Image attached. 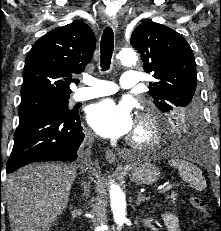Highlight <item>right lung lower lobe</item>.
<instances>
[{
  "mask_svg": "<svg viewBox=\"0 0 221 231\" xmlns=\"http://www.w3.org/2000/svg\"><path fill=\"white\" fill-rule=\"evenodd\" d=\"M7 173L38 161H74L84 139L77 111L43 108L19 116Z\"/></svg>",
  "mask_w": 221,
  "mask_h": 231,
  "instance_id": "1",
  "label": "right lung lower lobe"
}]
</instances>
